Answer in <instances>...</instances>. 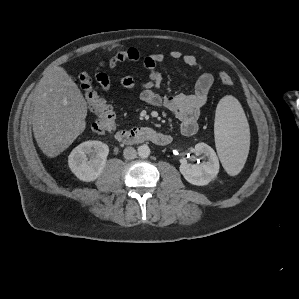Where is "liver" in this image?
Segmentation results:
<instances>
[{
    "label": "liver",
    "instance_id": "liver-1",
    "mask_svg": "<svg viewBox=\"0 0 299 299\" xmlns=\"http://www.w3.org/2000/svg\"><path fill=\"white\" fill-rule=\"evenodd\" d=\"M87 103L72 78L58 66L46 69L36 88L33 133L41 151L54 158L86 128Z\"/></svg>",
    "mask_w": 299,
    "mask_h": 299
}]
</instances>
